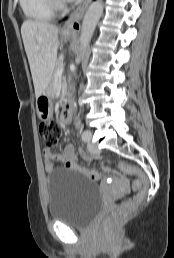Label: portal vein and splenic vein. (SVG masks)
I'll use <instances>...</instances> for the list:
<instances>
[{
    "instance_id": "1",
    "label": "portal vein and splenic vein",
    "mask_w": 174,
    "mask_h": 258,
    "mask_svg": "<svg viewBox=\"0 0 174 258\" xmlns=\"http://www.w3.org/2000/svg\"><path fill=\"white\" fill-rule=\"evenodd\" d=\"M63 72H64V69H63V68L57 70V72H56V77H60V76L63 74Z\"/></svg>"
}]
</instances>
